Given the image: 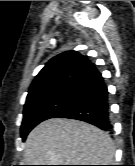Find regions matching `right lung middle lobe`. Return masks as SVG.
I'll use <instances>...</instances> for the list:
<instances>
[{"instance_id": "dd1d6c3e", "label": "right lung middle lobe", "mask_w": 135, "mask_h": 166, "mask_svg": "<svg viewBox=\"0 0 135 166\" xmlns=\"http://www.w3.org/2000/svg\"><path fill=\"white\" fill-rule=\"evenodd\" d=\"M72 95L68 86H63L43 95L33 101L25 103L21 137L25 140L28 133L40 122L55 118L68 106Z\"/></svg>"}]
</instances>
